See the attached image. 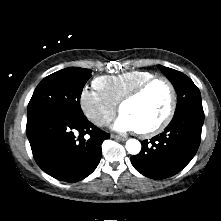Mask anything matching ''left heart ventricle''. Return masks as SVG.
Here are the masks:
<instances>
[{"mask_svg":"<svg viewBox=\"0 0 221 221\" xmlns=\"http://www.w3.org/2000/svg\"><path fill=\"white\" fill-rule=\"evenodd\" d=\"M168 105V89L163 83L157 82L140 97L126 103L121 112L129 115L135 121L138 130H145L155 126L163 119Z\"/></svg>","mask_w":221,"mask_h":221,"instance_id":"obj_1","label":"left heart ventricle"}]
</instances>
